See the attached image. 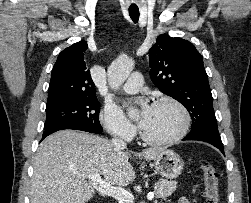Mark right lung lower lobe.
Returning <instances> with one entry per match:
<instances>
[{"label":"right lung lower lobe","instance_id":"1","mask_svg":"<svg viewBox=\"0 0 251 203\" xmlns=\"http://www.w3.org/2000/svg\"><path fill=\"white\" fill-rule=\"evenodd\" d=\"M64 129H73V130H81V131H86V132H90V133H96V134H99L89 128H86L84 126H81V125H76V124H70V125H62V126H58V127H55V128H51V129H47L44 131L43 133V136H42V140L47 137L48 135L56 132V131H59V130H64Z\"/></svg>","mask_w":251,"mask_h":203}]
</instances>
